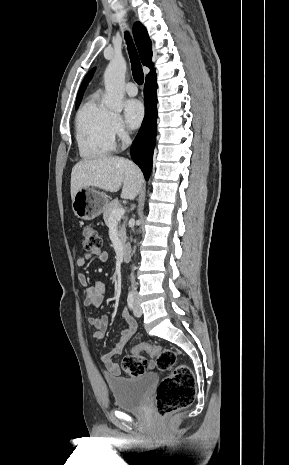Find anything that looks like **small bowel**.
Masks as SVG:
<instances>
[{
  "instance_id": "1",
  "label": "small bowel",
  "mask_w": 289,
  "mask_h": 465,
  "mask_svg": "<svg viewBox=\"0 0 289 465\" xmlns=\"http://www.w3.org/2000/svg\"><path fill=\"white\" fill-rule=\"evenodd\" d=\"M96 257L101 262H106L109 255L106 251L95 249L92 250L77 260V265L80 268L86 266L87 262ZM78 280L82 286L85 287V304L92 308L99 307L105 297L107 286L102 281H95L93 285H88V278L85 273H79ZM122 317L125 320L127 327L120 333L119 338L115 342L113 348L104 353L101 358L105 364L107 370L112 375L120 374L119 364L114 360V357L121 354L126 344L135 334L137 325L135 320L128 314L127 311H123ZM89 324L95 328L94 338L98 341L103 340L109 325L108 316H102L101 318L91 317L89 318ZM151 366L153 363L150 364Z\"/></svg>"
}]
</instances>
